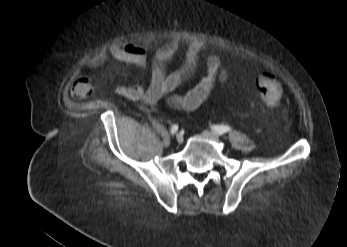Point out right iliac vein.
<instances>
[{
  "label": "right iliac vein",
  "mask_w": 347,
  "mask_h": 247,
  "mask_svg": "<svg viewBox=\"0 0 347 247\" xmlns=\"http://www.w3.org/2000/svg\"><path fill=\"white\" fill-rule=\"evenodd\" d=\"M176 140H177L178 143H182V142H183V136H182V134L178 133V134L176 135Z\"/></svg>",
  "instance_id": "1"
}]
</instances>
